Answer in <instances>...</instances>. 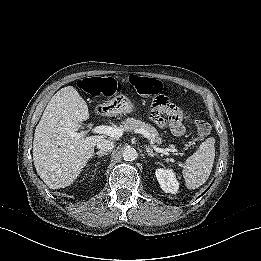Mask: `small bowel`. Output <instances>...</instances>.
<instances>
[{
  "label": "small bowel",
  "mask_w": 261,
  "mask_h": 261,
  "mask_svg": "<svg viewBox=\"0 0 261 261\" xmlns=\"http://www.w3.org/2000/svg\"><path fill=\"white\" fill-rule=\"evenodd\" d=\"M152 117L153 119L158 123L159 126L164 127L166 125V122L163 119H160L155 112L152 111Z\"/></svg>",
  "instance_id": "c3829d8e"
}]
</instances>
